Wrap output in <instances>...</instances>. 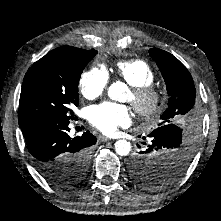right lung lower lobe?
I'll use <instances>...</instances> for the list:
<instances>
[{
    "label": "right lung lower lobe",
    "instance_id": "right-lung-lower-lobe-1",
    "mask_svg": "<svg viewBox=\"0 0 221 221\" xmlns=\"http://www.w3.org/2000/svg\"><path fill=\"white\" fill-rule=\"evenodd\" d=\"M69 120L50 116L36 117L20 127L37 170L43 176L49 166L60 165L65 157L88 150L97 138L89 131L69 136Z\"/></svg>",
    "mask_w": 221,
    "mask_h": 221
}]
</instances>
